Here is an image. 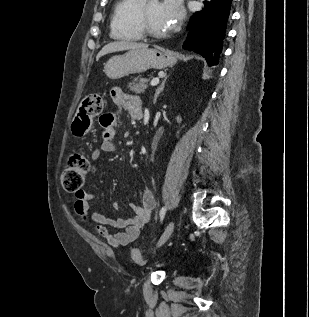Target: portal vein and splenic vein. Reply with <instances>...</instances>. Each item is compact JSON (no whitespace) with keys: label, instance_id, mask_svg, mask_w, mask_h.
<instances>
[{"label":"portal vein and splenic vein","instance_id":"obj_1","mask_svg":"<svg viewBox=\"0 0 309 317\" xmlns=\"http://www.w3.org/2000/svg\"><path fill=\"white\" fill-rule=\"evenodd\" d=\"M159 83V78H154L151 80L150 85L151 86H156Z\"/></svg>","mask_w":309,"mask_h":317}]
</instances>
